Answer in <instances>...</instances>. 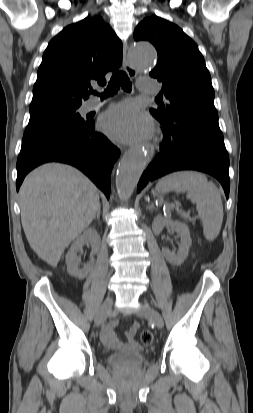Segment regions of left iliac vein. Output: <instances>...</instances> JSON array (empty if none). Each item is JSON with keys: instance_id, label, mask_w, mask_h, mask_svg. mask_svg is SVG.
Listing matches in <instances>:
<instances>
[{"instance_id": "obj_1", "label": "left iliac vein", "mask_w": 253, "mask_h": 413, "mask_svg": "<svg viewBox=\"0 0 253 413\" xmlns=\"http://www.w3.org/2000/svg\"><path fill=\"white\" fill-rule=\"evenodd\" d=\"M136 315L153 320L158 328H163L164 326V321L160 313L147 304L141 305L139 310L136 312Z\"/></svg>"}]
</instances>
